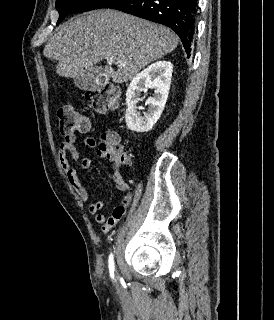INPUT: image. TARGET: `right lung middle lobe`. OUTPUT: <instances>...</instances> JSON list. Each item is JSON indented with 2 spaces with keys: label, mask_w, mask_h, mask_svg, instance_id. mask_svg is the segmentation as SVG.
<instances>
[{
  "label": "right lung middle lobe",
  "mask_w": 274,
  "mask_h": 320,
  "mask_svg": "<svg viewBox=\"0 0 274 320\" xmlns=\"http://www.w3.org/2000/svg\"><path fill=\"white\" fill-rule=\"evenodd\" d=\"M112 0H56L59 24L68 14L103 8Z\"/></svg>",
  "instance_id": "dd1d6c3e"
}]
</instances>
